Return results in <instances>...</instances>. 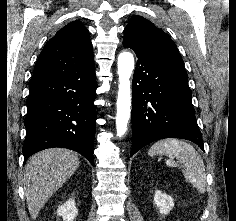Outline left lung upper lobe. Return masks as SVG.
Returning <instances> with one entry per match:
<instances>
[{"mask_svg": "<svg viewBox=\"0 0 236 221\" xmlns=\"http://www.w3.org/2000/svg\"><path fill=\"white\" fill-rule=\"evenodd\" d=\"M123 40H129L141 49L161 56L183 66L176 44L151 21L141 16H133L125 28ZM184 67V66H183Z\"/></svg>", "mask_w": 236, "mask_h": 221, "instance_id": "1", "label": "left lung upper lobe"}]
</instances>
